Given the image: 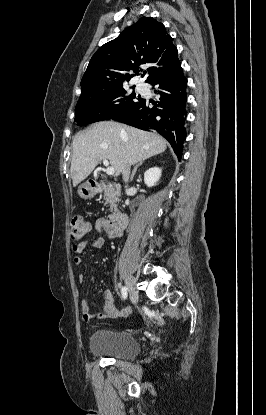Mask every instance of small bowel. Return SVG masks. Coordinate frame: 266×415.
<instances>
[{"label": "small bowel", "instance_id": "c3829d8e", "mask_svg": "<svg viewBox=\"0 0 266 415\" xmlns=\"http://www.w3.org/2000/svg\"><path fill=\"white\" fill-rule=\"evenodd\" d=\"M95 228L97 232L100 234L98 238L73 245L72 250L74 254L75 264H82V254L87 247L101 248L104 245V238L101 236V234H106L109 238H115L121 235L120 231H116L109 228L106 224V220L104 219L97 220ZM79 280L80 282H84L86 278L83 274H81L79 276ZM129 312V308H124L120 310L115 306L114 298L109 291H106L104 293V307L103 313L101 314L91 313L87 300L83 299L81 301V313L85 322H91L99 319H116L120 316L128 315Z\"/></svg>", "mask_w": 266, "mask_h": 415}]
</instances>
